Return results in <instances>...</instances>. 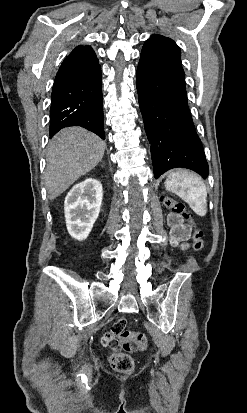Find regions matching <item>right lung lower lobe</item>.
Returning a JSON list of instances; mask_svg holds the SVG:
<instances>
[{"mask_svg": "<svg viewBox=\"0 0 247 413\" xmlns=\"http://www.w3.org/2000/svg\"><path fill=\"white\" fill-rule=\"evenodd\" d=\"M78 125L105 139L101 67L98 62L60 67L50 108V138L60 129Z\"/></svg>", "mask_w": 247, "mask_h": 413, "instance_id": "1", "label": "right lung lower lobe"}]
</instances>
